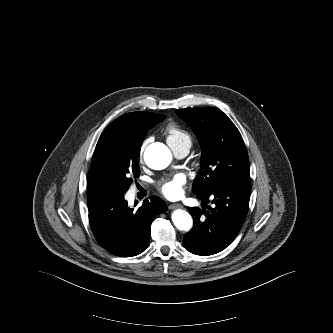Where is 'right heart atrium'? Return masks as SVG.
<instances>
[{
    "mask_svg": "<svg viewBox=\"0 0 333 333\" xmlns=\"http://www.w3.org/2000/svg\"><path fill=\"white\" fill-rule=\"evenodd\" d=\"M150 141V139H145L141 145V148H140V157H142L143 155V152H144V149L146 147V145L148 144V142Z\"/></svg>",
    "mask_w": 333,
    "mask_h": 333,
    "instance_id": "right-heart-atrium-1",
    "label": "right heart atrium"
}]
</instances>
